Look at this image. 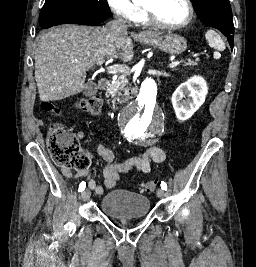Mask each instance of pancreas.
I'll return each instance as SVG.
<instances>
[{
	"mask_svg": "<svg viewBox=\"0 0 256 267\" xmlns=\"http://www.w3.org/2000/svg\"><path fill=\"white\" fill-rule=\"evenodd\" d=\"M199 62V60H197ZM185 66H197L196 62H191V60H188L186 62ZM123 76H128V74H123ZM108 94L113 98V100H108V102H112V104H115V102H119V104H126L128 100H131L132 96L130 94H137L136 90H130L128 88V82H121V80H118V82H115V84H110L108 88Z\"/></svg>",
	"mask_w": 256,
	"mask_h": 267,
	"instance_id": "pancreas-1",
	"label": "pancreas"
}]
</instances>
